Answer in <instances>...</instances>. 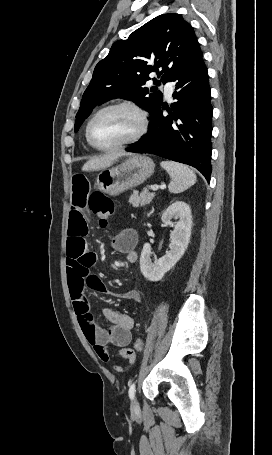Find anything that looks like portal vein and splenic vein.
Returning a JSON list of instances; mask_svg holds the SVG:
<instances>
[{"mask_svg":"<svg viewBox=\"0 0 272 455\" xmlns=\"http://www.w3.org/2000/svg\"><path fill=\"white\" fill-rule=\"evenodd\" d=\"M151 189L153 191H157L159 189V186L158 185H153V186H151Z\"/></svg>","mask_w":272,"mask_h":455,"instance_id":"18ae733b","label":"portal vein and splenic vein"}]
</instances>
